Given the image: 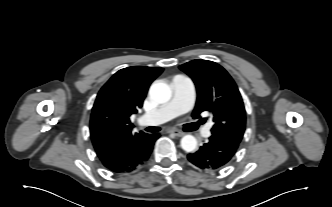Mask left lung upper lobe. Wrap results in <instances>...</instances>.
Wrapping results in <instances>:
<instances>
[{
	"instance_id": "5c2ea615",
	"label": "left lung upper lobe",
	"mask_w": 332,
	"mask_h": 207,
	"mask_svg": "<svg viewBox=\"0 0 332 207\" xmlns=\"http://www.w3.org/2000/svg\"><path fill=\"white\" fill-rule=\"evenodd\" d=\"M179 68L194 81L197 101L192 113L201 118L204 111L213 116L212 135L240 143L245 131V108L240 92L227 71L208 60H193Z\"/></svg>"
}]
</instances>
